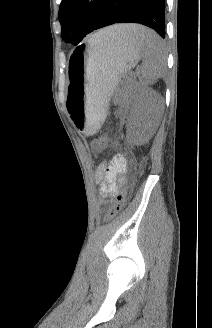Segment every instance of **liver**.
<instances>
[{"instance_id": "liver-1", "label": "liver", "mask_w": 212, "mask_h": 328, "mask_svg": "<svg viewBox=\"0 0 212 328\" xmlns=\"http://www.w3.org/2000/svg\"><path fill=\"white\" fill-rule=\"evenodd\" d=\"M136 25H114L103 30H100L92 37H94L98 41H106V40H134L135 33L134 27Z\"/></svg>"}]
</instances>
